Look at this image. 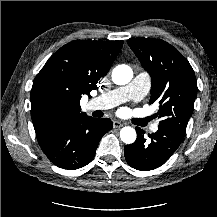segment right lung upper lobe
I'll return each mask as SVG.
<instances>
[{
	"mask_svg": "<svg viewBox=\"0 0 217 217\" xmlns=\"http://www.w3.org/2000/svg\"><path fill=\"white\" fill-rule=\"evenodd\" d=\"M123 41H72L56 51L37 74L31 89V118L35 132L73 121L86 114L81 112V96H90L117 57ZM45 89L54 90L63 100L65 110L54 123H44L35 106Z\"/></svg>",
	"mask_w": 217,
	"mask_h": 217,
	"instance_id": "right-lung-upper-lobe-1",
	"label": "right lung upper lobe"
}]
</instances>
